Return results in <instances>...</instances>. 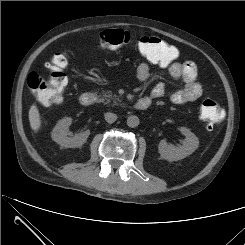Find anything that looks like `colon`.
Returning a JSON list of instances; mask_svg holds the SVG:
<instances>
[{
  "mask_svg": "<svg viewBox=\"0 0 245 245\" xmlns=\"http://www.w3.org/2000/svg\"><path fill=\"white\" fill-rule=\"evenodd\" d=\"M131 35L124 29H109L100 34V43L106 48H118L128 44ZM139 53L151 63L167 66L177 57L176 50L165 41L154 36H143L138 41ZM65 59L54 58L50 64V74L44 78L36 72L27 77V85L35 99L43 105L59 103L63 99L67 78L63 69ZM201 116L208 130H213L223 119L224 113L220 104L214 99H206L201 105Z\"/></svg>",
  "mask_w": 245,
  "mask_h": 245,
  "instance_id": "colon-1",
  "label": "colon"
}]
</instances>
